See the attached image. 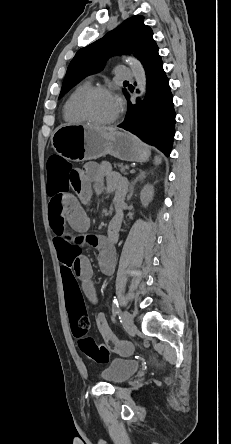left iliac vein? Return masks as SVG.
Instances as JSON below:
<instances>
[{
    "label": "left iliac vein",
    "mask_w": 231,
    "mask_h": 444,
    "mask_svg": "<svg viewBox=\"0 0 231 444\" xmlns=\"http://www.w3.org/2000/svg\"><path fill=\"white\" fill-rule=\"evenodd\" d=\"M123 323L126 328L133 326V317L128 311H124L123 313Z\"/></svg>",
    "instance_id": "1"
}]
</instances>
